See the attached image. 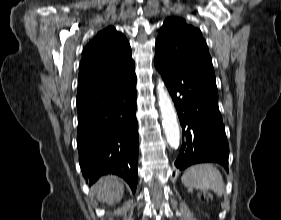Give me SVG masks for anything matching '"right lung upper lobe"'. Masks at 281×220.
<instances>
[{"instance_id": "1", "label": "right lung upper lobe", "mask_w": 281, "mask_h": 220, "mask_svg": "<svg viewBox=\"0 0 281 220\" xmlns=\"http://www.w3.org/2000/svg\"><path fill=\"white\" fill-rule=\"evenodd\" d=\"M136 80L130 45L114 27L100 31L84 48L76 102L111 93Z\"/></svg>"}]
</instances>
